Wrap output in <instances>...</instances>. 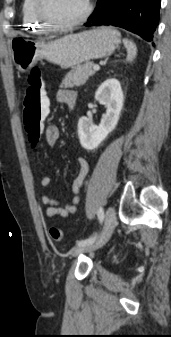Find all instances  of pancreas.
<instances>
[{
    "label": "pancreas",
    "mask_w": 171,
    "mask_h": 337,
    "mask_svg": "<svg viewBox=\"0 0 171 337\" xmlns=\"http://www.w3.org/2000/svg\"><path fill=\"white\" fill-rule=\"evenodd\" d=\"M93 66L94 63L86 62L72 68V70L66 74L60 87L73 88L84 85L89 77L95 74V70L92 69Z\"/></svg>",
    "instance_id": "pancreas-1"
}]
</instances>
